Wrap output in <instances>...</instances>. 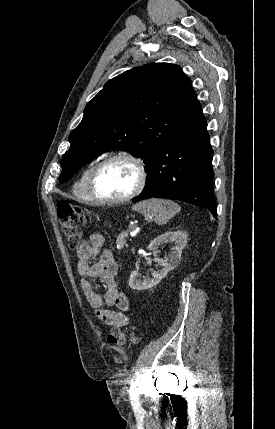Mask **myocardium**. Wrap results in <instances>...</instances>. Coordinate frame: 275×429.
Here are the masks:
<instances>
[{
	"instance_id": "myocardium-1",
	"label": "myocardium",
	"mask_w": 275,
	"mask_h": 429,
	"mask_svg": "<svg viewBox=\"0 0 275 429\" xmlns=\"http://www.w3.org/2000/svg\"><path fill=\"white\" fill-rule=\"evenodd\" d=\"M117 160L128 161L129 163H131L135 167L136 172H137L136 184H135L134 188L125 196L113 198V199L101 198L97 195L96 190H95L96 178H97L99 172L106 165H108L111 162L117 161ZM146 178H147L146 169H145V166H144V164L140 158H138V157H136L130 153H126V152L116 153V154H112V155L107 156L106 158L99 161L94 166V168L92 169V171L89 175V178H88L87 190H88V194H89L91 200L94 201L95 203H98L101 205L121 204V203L132 200L133 198H135L137 195H139L141 193V191L143 190V188L145 186Z\"/></svg>"
}]
</instances>
